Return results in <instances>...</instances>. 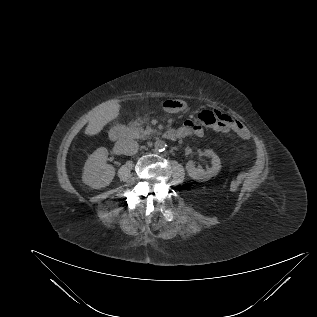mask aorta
Here are the masks:
<instances>
[{
  "label": "aorta",
  "mask_w": 317,
  "mask_h": 317,
  "mask_svg": "<svg viewBox=\"0 0 317 317\" xmlns=\"http://www.w3.org/2000/svg\"><path fill=\"white\" fill-rule=\"evenodd\" d=\"M155 149L158 151H164L166 147V143L163 140H157L154 144Z\"/></svg>",
  "instance_id": "762f6f07"
}]
</instances>
